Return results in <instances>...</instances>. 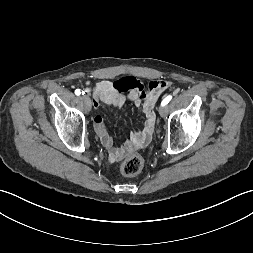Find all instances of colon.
<instances>
[{"label": "colon", "instance_id": "1", "mask_svg": "<svg viewBox=\"0 0 253 253\" xmlns=\"http://www.w3.org/2000/svg\"><path fill=\"white\" fill-rule=\"evenodd\" d=\"M144 166V160L139 154H132L121 164V173L125 176H134L141 172Z\"/></svg>", "mask_w": 253, "mask_h": 253}]
</instances>
